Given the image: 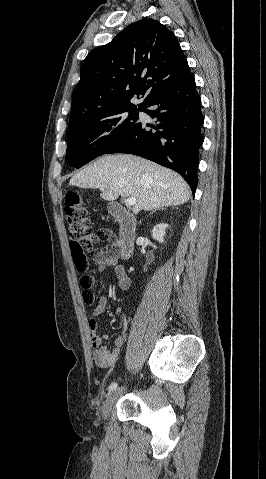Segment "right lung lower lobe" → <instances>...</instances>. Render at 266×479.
I'll return each instance as SVG.
<instances>
[{
    "label": "right lung lower lobe",
    "instance_id": "1",
    "mask_svg": "<svg viewBox=\"0 0 266 479\" xmlns=\"http://www.w3.org/2000/svg\"><path fill=\"white\" fill-rule=\"evenodd\" d=\"M200 107L201 99L190 73L158 90L142 106V111L156 118L159 124L138 122L106 154L130 153L173 169L187 181L194 195L199 147L203 142L204 118Z\"/></svg>",
    "mask_w": 266,
    "mask_h": 479
}]
</instances>
